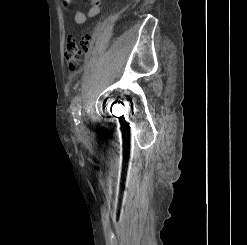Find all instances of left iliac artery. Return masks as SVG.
<instances>
[{"mask_svg":"<svg viewBox=\"0 0 247 245\" xmlns=\"http://www.w3.org/2000/svg\"><path fill=\"white\" fill-rule=\"evenodd\" d=\"M72 114L74 121L77 123L80 122L81 118V96L76 95L72 101Z\"/></svg>","mask_w":247,"mask_h":245,"instance_id":"44dca946","label":"left iliac artery"}]
</instances>
